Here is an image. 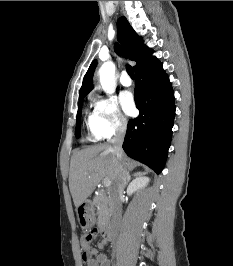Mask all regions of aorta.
<instances>
[{
	"mask_svg": "<svg viewBox=\"0 0 233 266\" xmlns=\"http://www.w3.org/2000/svg\"><path fill=\"white\" fill-rule=\"evenodd\" d=\"M100 84L107 94H113L116 90L117 82L115 78V65L112 62H105L99 71Z\"/></svg>",
	"mask_w": 233,
	"mask_h": 266,
	"instance_id": "aorta-1",
	"label": "aorta"
}]
</instances>
